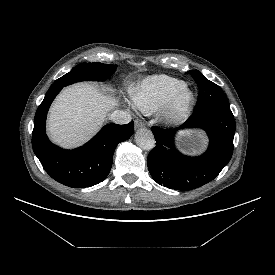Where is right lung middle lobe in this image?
<instances>
[{
	"label": "right lung middle lobe",
	"mask_w": 275,
	"mask_h": 275,
	"mask_svg": "<svg viewBox=\"0 0 275 275\" xmlns=\"http://www.w3.org/2000/svg\"><path fill=\"white\" fill-rule=\"evenodd\" d=\"M116 65L103 63H82L74 67L69 73L57 79L50 88L67 86L85 80H105L116 70Z\"/></svg>",
	"instance_id": "1"
}]
</instances>
